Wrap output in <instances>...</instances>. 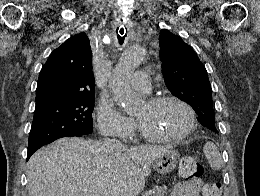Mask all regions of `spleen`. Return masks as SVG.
I'll return each instance as SVG.
<instances>
[{"mask_svg": "<svg viewBox=\"0 0 260 196\" xmlns=\"http://www.w3.org/2000/svg\"><path fill=\"white\" fill-rule=\"evenodd\" d=\"M203 152L205 154V158H207L210 164V168H212V170H220L222 166V158L217 146H215L213 142H206Z\"/></svg>", "mask_w": 260, "mask_h": 196, "instance_id": "1", "label": "spleen"}]
</instances>
